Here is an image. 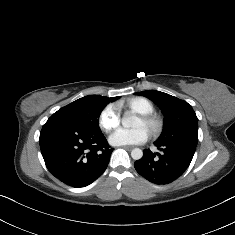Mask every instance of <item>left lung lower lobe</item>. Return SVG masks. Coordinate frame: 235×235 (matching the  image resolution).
Here are the masks:
<instances>
[{"instance_id": "0a47b994", "label": "left lung lower lobe", "mask_w": 235, "mask_h": 235, "mask_svg": "<svg viewBox=\"0 0 235 235\" xmlns=\"http://www.w3.org/2000/svg\"><path fill=\"white\" fill-rule=\"evenodd\" d=\"M155 145L161 154L145 149L143 157L134 163L136 171L155 184L170 183L181 176L190 165L196 149L179 142H155Z\"/></svg>"}]
</instances>
